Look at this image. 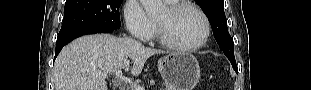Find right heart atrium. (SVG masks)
Segmentation results:
<instances>
[{
  "mask_svg": "<svg viewBox=\"0 0 311 90\" xmlns=\"http://www.w3.org/2000/svg\"><path fill=\"white\" fill-rule=\"evenodd\" d=\"M124 19L127 30L141 41L149 40L154 32V22L146 14L140 1L127 0L124 6Z\"/></svg>",
  "mask_w": 311,
  "mask_h": 90,
  "instance_id": "obj_1",
  "label": "right heart atrium"
}]
</instances>
